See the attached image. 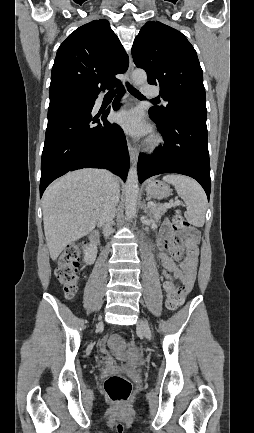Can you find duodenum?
I'll use <instances>...</instances> for the list:
<instances>
[{
	"label": "duodenum",
	"instance_id": "1",
	"mask_svg": "<svg viewBox=\"0 0 254 433\" xmlns=\"http://www.w3.org/2000/svg\"><path fill=\"white\" fill-rule=\"evenodd\" d=\"M90 240L93 244H96L99 240V233L98 232H94L93 234H91L90 236Z\"/></svg>",
	"mask_w": 254,
	"mask_h": 433
}]
</instances>
